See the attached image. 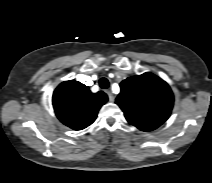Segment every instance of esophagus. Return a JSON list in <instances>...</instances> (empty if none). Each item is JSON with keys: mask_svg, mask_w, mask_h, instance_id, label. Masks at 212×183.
I'll list each match as a JSON object with an SVG mask.
<instances>
[{"mask_svg": "<svg viewBox=\"0 0 212 183\" xmlns=\"http://www.w3.org/2000/svg\"><path fill=\"white\" fill-rule=\"evenodd\" d=\"M107 95H108L109 100H110L111 102H114V100H115V95H114L110 90L107 91Z\"/></svg>", "mask_w": 212, "mask_h": 183, "instance_id": "obj_1", "label": "esophagus"}]
</instances>
